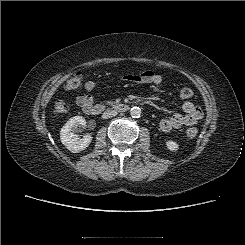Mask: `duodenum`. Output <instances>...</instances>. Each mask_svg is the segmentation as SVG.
I'll use <instances>...</instances> for the list:
<instances>
[{"label": "duodenum", "instance_id": "1", "mask_svg": "<svg viewBox=\"0 0 245 245\" xmlns=\"http://www.w3.org/2000/svg\"><path fill=\"white\" fill-rule=\"evenodd\" d=\"M113 108L117 112L124 113L130 109V106L128 104H116ZM104 109L105 107L101 104L91 105L88 108L87 113L91 116H97L101 114L104 111Z\"/></svg>", "mask_w": 245, "mask_h": 245}]
</instances>
